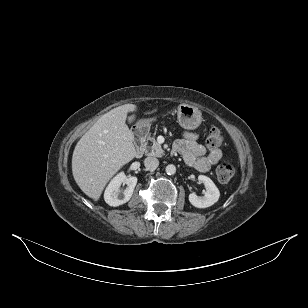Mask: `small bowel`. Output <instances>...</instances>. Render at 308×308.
<instances>
[{"instance_id": "1", "label": "small bowel", "mask_w": 308, "mask_h": 308, "mask_svg": "<svg viewBox=\"0 0 308 308\" xmlns=\"http://www.w3.org/2000/svg\"><path fill=\"white\" fill-rule=\"evenodd\" d=\"M198 134L191 131L183 133V138L174 143V151L182 155L185 163L199 172H207L222 158L220 149L210 150L198 141Z\"/></svg>"}]
</instances>
